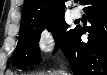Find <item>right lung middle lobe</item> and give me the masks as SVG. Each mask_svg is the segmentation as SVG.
<instances>
[{
    "instance_id": "1",
    "label": "right lung middle lobe",
    "mask_w": 107,
    "mask_h": 75,
    "mask_svg": "<svg viewBox=\"0 0 107 75\" xmlns=\"http://www.w3.org/2000/svg\"><path fill=\"white\" fill-rule=\"evenodd\" d=\"M47 28L52 32L56 49L63 48L74 34L64 18H58L43 24H21L17 47L13 53L12 63L18 68L34 66L41 62L39 56V39L41 32Z\"/></svg>"
}]
</instances>
